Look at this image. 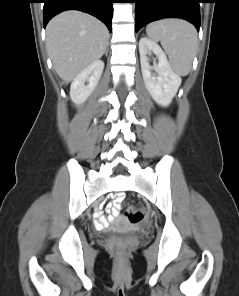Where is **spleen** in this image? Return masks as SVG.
<instances>
[{"label":"spleen","instance_id":"obj_1","mask_svg":"<svg viewBox=\"0 0 239 296\" xmlns=\"http://www.w3.org/2000/svg\"><path fill=\"white\" fill-rule=\"evenodd\" d=\"M146 33L150 39L160 41L175 73L180 76L189 74L198 48L193 25L179 19H164L147 25Z\"/></svg>","mask_w":239,"mask_h":296}]
</instances>
